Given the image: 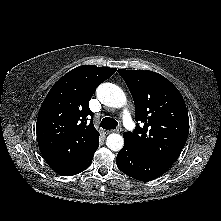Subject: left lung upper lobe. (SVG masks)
<instances>
[{"label": "left lung upper lobe", "mask_w": 221, "mask_h": 221, "mask_svg": "<svg viewBox=\"0 0 221 221\" xmlns=\"http://www.w3.org/2000/svg\"><path fill=\"white\" fill-rule=\"evenodd\" d=\"M135 104L134 132H124L125 144L140 154L171 167L189 133V118L179 90L164 76L152 71L118 70Z\"/></svg>", "instance_id": "obj_1"}]
</instances>
